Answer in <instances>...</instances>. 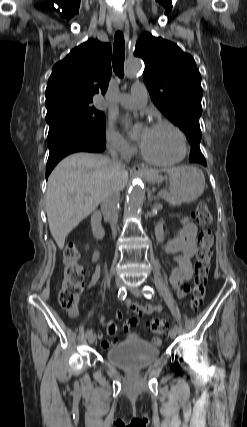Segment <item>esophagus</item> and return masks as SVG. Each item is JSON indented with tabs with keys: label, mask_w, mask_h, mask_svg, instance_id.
<instances>
[{
	"label": "esophagus",
	"mask_w": 247,
	"mask_h": 427,
	"mask_svg": "<svg viewBox=\"0 0 247 427\" xmlns=\"http://www.w3.org/2000/svg\"><path fill=\"white\" fill-rule=\"evenodd\" d=\"M122 28H123L122 25H117L116 26L117 30H122ZM133 170L135 172H139V173H143V174H152L153 173L152 170H150V169H148L146 167H143V166H139V165L134 166Z\"/></svg>",
	"instance_id": "34e87169"
}]
</instances>
